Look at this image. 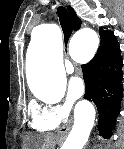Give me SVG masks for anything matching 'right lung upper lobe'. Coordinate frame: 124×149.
<instances>
[{
    "instance_id": "1",
    "label": "right lung upper lobe",
    "mask_w": 124,
    "mask_h": 149,
    "mask_svg": "<svg viewBox=\"0 0 124 149\" xmlns=\"http://www.w3.org/2000/svg\"><path fill=\"white\" fill-rule=\"evenodd\" d=\"M68 10H69L72 22H73V29L78 30L81 26V20L78 18L75 11L70 6H68Z\"/></svg>"
}]
</instances>
